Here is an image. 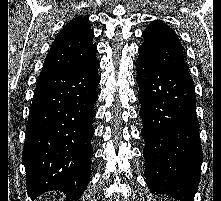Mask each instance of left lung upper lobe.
Segmentation results:
<instances>
[{
    "label": "left lung upper lobe",
    "instance_id": "1",
    "mask_svg": "<svg viewBox=\"0 0 221 201\" xmlns=\"http://www.w3.org/2000/svg\"><path fill=\"white\" fill-rule=\"evenodd\" d=\"M144 43L139 47V58L172 72L189 75L183 58V47L176 33L160 20L153 21L143 31Z\"/></svg>",
    "mask_w": 221,
    "mask_h": 201
}]
</instances>
